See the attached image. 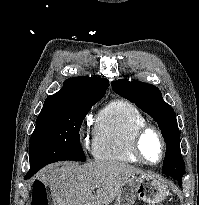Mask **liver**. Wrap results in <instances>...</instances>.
<instances>
[{"instance_id":"1","label":"liver","mask_w":199,"mask_h":205,"mask_svg":"<svg viewBox=\"0 0 199 205\" xmlns=\"http://www.w3.org/2000/svg\"><path fill=\"white\" fill-rule=\"evenodd\" d=\"M136 175L145 174L125 163L65 162L47 167L40 179L50 185L54 205H109L124 181Z\"/></svg>"}]
</instances>
